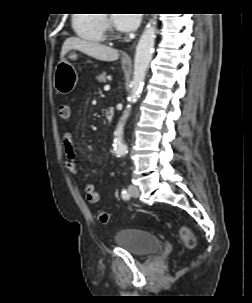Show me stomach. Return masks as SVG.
Instances as JSON below:
<instances>
[{"label": "stomach", "instance_id": "1", "mask_svg": "<svg viewBox=\"0 0 252 303\" xmlns=\"http://www.w3.org/2000/svg\"><path fill=\"white\" fill-rule=\"evenodd\" d=\"M71 60H77L78 55L75 52H71L68 55ZM123 65H127V62H122ZM78 82V73L75 67L63 58L56 66L54 73V87L58 93L68 94L74 90Z\"/></svg>", "mask_w": 252, "mask_h": 303}]
</instances>
